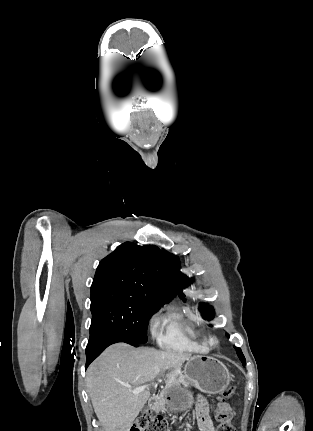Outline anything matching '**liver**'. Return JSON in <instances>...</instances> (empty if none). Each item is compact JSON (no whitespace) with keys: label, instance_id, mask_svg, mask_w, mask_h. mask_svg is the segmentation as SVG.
Wrapping results in <instances>:
<instances>
[{"label":"liver","instance_id":"obj_1","mask_svg":"<svg viewBox=\"0 0 313 431\" xmlns=\"http://www.w3.org/2000/svg\"><path fill=\"white\" fill-rule=\"evenodd\" d=\"M191 354L154 348H133L116 343L107 348L88 368L86 385L103 431H129L150 392L130 390L165 374L174 380Z\"/></svg>","mask_w":313,"mask_h":431}]
</instances>
